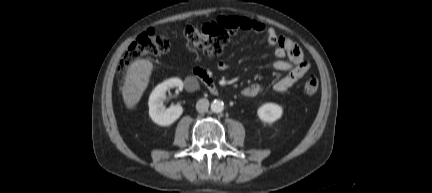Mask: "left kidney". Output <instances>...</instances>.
Returning a JSON list of instances; mask_svg holds the SVG:
<instances>
[{
  "label": "left kidney",
  "mask_w": 432,
  "mask_h": 193,
  "mask_svg": "<svg viewBox=\"0 0 432 193\" xmlns=\"http://www.w3.org/2000/svg\"><path fill=\"white\" fill-rule=\"evenodd\" d=\"M283 109L275 103H265L257 110V115L263 122L273 123L281 118Z\"/></svg>",
  "instance_id": "5707ae66"
}]
</instances>
